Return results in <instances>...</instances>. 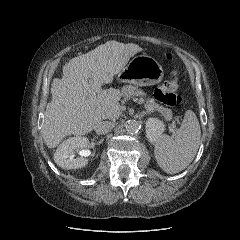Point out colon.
I'll return each mask as SVG.
<instances>
[{"label": "colon", "mask_w": 240, "mask_h": 240, "mask_svg": "<svg viewBox=\"0 0 240 240\" xmlns=\"http://www.w3.org/2000/svg\"><path fill=\"white\" fill-rule=\"evenodd\" d=\"M167 58H171L170 54H167ZM172 79L163 83L155 90V98L167 106H175L181 103V96L177 93L179 79L178 72L172 73Z\"/></svg>", "instance_id": "colon-1"}]
</instances>
